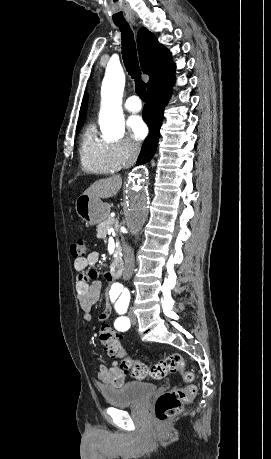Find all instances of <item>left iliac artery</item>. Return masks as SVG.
I'll return each mask as SVG.
<instances>
[{"instance_id": "obj_1", "label": "left iliac artery", "mask_w": 271, "mask_h": 459, "mask_svg": "<svg viewBox=\"0 0 271 459\" xmlns=\"http://www.w3.org/2000/svg\"><path fill=\"white\" fill-rule=\"evenodd\" d=\"M115 308H116V314L118 316H123L125 314V311L128 308V303H118L117 302L115 304ZM114 326L118 331H126L130 328V320L127 317H120L115 321Z\"/></svg>"}]
</instances>
